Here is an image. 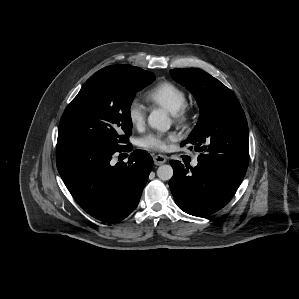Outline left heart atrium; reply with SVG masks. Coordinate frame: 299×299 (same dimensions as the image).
Returning <instances> with one entry per match:
<instances>
[{
  "mask_svg": "<svg viewBox=\"0 0 299 299\" xmlns=\"http://www.w3.org/2000/svg\"><path fill=\"white\" fill-rule=\"evenodd\" d=\"M175 135L172 133L163 134L159 132L149 133L142 136L138 143L141 147L152 150H164L169 141L173 140Z\"/></svg>",
  "mask_w": 299,
  "mask_h": 299,
  "instance_id": "1",
  "label": "left heart atrium"
}]
</instances>
